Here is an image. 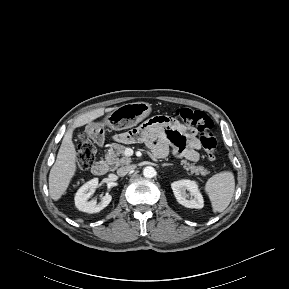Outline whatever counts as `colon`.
<instances>
[{
	"instance_id": "colon-1",
	"label": "colon",
	"mask_w": 289,
	"mask_h": 289,
	"mask_svg": "<svg viewBox=\"0 0 289 289\" xmlns=\"http://www.w3.org/2000/svg\"><path fill=\"white\" fill-rule=\"evenodd\" d=\"M175 115L183 123L194 126L201 134V145L209 160L216 159V139L213 135V121L203 111L191 108H179L175 111ZM96 149L94 144L81 133L78 138L76 161L78 168L87 169L94 161Z\"/></svg>"
}]
</instances>
